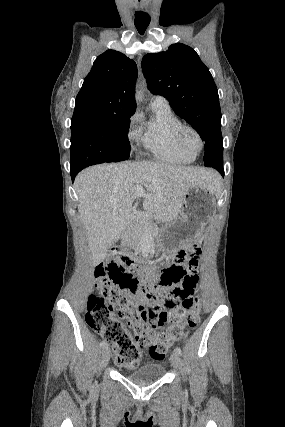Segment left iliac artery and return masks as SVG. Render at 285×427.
<instances>
[{
    "mask_svg": "<svg viewBox=\"0 0 285 427\" xmlns=\"http://www.w3.org/2000/svg\"><path fill=\"white\" fill-rule=\"evenodd\" d=\"M175 352L178 353L179 355L182 354L181 348L180 347H176L175 348Z\"/></svg>",
    "mask_w": 285,
    "mask_h": 427,
    "instance_id": "1",
    "label": "left iliac artery"
}]
</instances>
